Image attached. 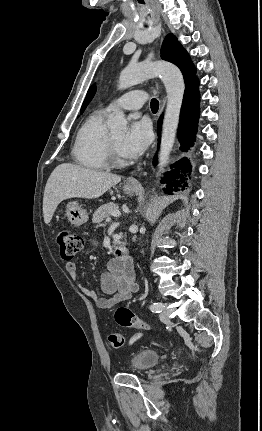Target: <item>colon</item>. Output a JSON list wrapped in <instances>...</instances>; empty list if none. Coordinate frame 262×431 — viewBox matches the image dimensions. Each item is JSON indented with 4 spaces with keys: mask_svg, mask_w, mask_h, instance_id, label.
<instances>
[{
    "mask_svg": "<svg viewBox=\"0 0 262 431\" xmlns=\"http://www.w3.org/2000/svg\"><path fill=\"white\" fill-rule=\"evenodd\" d=\"M57 243L60 255L65 261H72L85 246L84 237L77 232L61 230L57 234ZM115 320L123 327L136 328L141 331H149L150 325L135 315L128 307L121 306L115 312ZM110 345L113 348H120L124 345V338L121 334L111 332L108 336Z\"/></svg>",
    "mask_w": 262,
    "mask_h": 431,
    "instance_id": "obj_1",
    "label": "colon"
}]
</instances>
